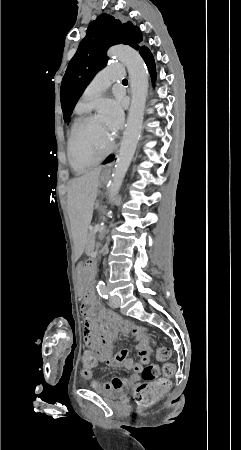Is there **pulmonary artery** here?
<instances>
[{"label": "pulmonary artery", "instance_id": "obj_1", "mask_svg": "<svg viewBox=\"0 0 241 450\" xmlns=\"http://www.w3.org/2000/svg\"><path fill=\"white\" fill-rule=\"evenodd\" d=\"M123 77V66L122 64H104L102 69H99L98 74L95 76V83L93 85V90L95 92H100L102 90V85L106 78H122Z\"/></svg>", "mask_w": 241, "mask_h": 450}]
</instances>
